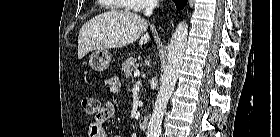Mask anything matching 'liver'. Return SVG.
Wrapping results in <instances>:
<instances>
[{
    "mask_svg": "<svg viewBox=\"0 0 280 137\" xmlns=\"http://www.w3.org/2000/svg\"><path fill=\"white\" fill-rule=\"evenodd\" d=\"M148 22L140 15L122 10L99 14L83 24L78 36V58L92 50L122 48L141 37L139 45L148 43Z\"/></svg>",
    "mask_w": 280,
    "mask_h": 137,
    "instance_id": "6515ba94",
    "label": "liver"
}]
</instances>
